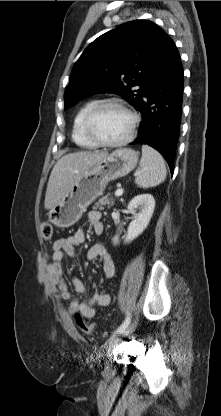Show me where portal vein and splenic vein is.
Wrapping results in <instances>:
<instances>
[{
    "label": "portal vein and splenic vein",
    "instance_id": "portal-vein-and-splenic-vein-1",
    "mask_svg": "<svg viewBox=\"0 0 221 416\" xmlns=\"http://www.w3.org/2000/svg\"><path fill=\"white\" fill-rule=\"evenodd\" d=\"M123 194V189L119 188L115 191V196L120 197Z\"/></svg>",
    "mask_w": 221,
    "mask_h": 416
}]
</instances>
